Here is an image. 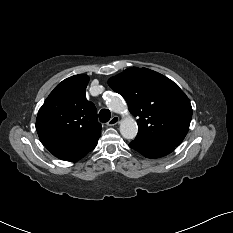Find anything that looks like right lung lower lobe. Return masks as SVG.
Segmentation results:
<instances>
[{
  "mask_svg": "<svg viewBox=\"0 0 233 233\" xmlns=\"http://www.w3.org/2000/svg\"><path fill=\"white\" fill-rule=\"evenodd\" d=\"M98 138L93 141L75 147H48L47 149L57 158L65 161H77L83 158L88 152L93 150L98 142Z\"/></svg>",
  "mask_w": 233,
  "mask_h": 233,
  "instance_id": "right-lung-lower-lobe-1",
  "label": "right lung lower lobe"
}]
</instances>
